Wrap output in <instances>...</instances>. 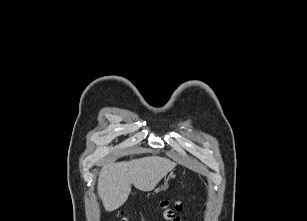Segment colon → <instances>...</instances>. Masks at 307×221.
Here are the masks:
<instances>
[{
    "mask_svg": "<svg viewBox=\"0 0 307 221\" xmlns=\"http://www.w3.org/2000/svg\"><path fill=\"white\" fill-rule=\"evenodd\" d=\"M160 207L163 211V216L167 219H170L176 210H179L182 207L180 201H162ZM130 215L126 212H121L118 216V221H129Z\"/></svg>",
    "mask_w": 307,
    "mask_h": 221,
    "instance_id": "obj_1",
    "label": "colon"
}]
</instances>
